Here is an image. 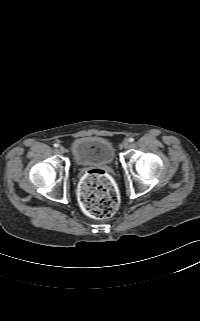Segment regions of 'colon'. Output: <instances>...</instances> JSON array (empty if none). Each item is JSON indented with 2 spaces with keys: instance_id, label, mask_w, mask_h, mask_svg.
I'll return each mask as SVG.
<instances>
[{
  "instance_id": "5ec220e1",
  "label": "colon",
  "mask_w": 200,
  "mask_h": 321,
  "mask_svg": "<svg viewBox=\"0 0 200 321\" xmlns=\"http://www.w3.org/2000/svg\"><path fill=\"white\" fill-rule=\"evenodd\" d=\"M79 198L85 212L98 219L112 216L119 206L118 193L101 169H93L85 174L80 182Z\"/></svg>"
}]
</instances>
